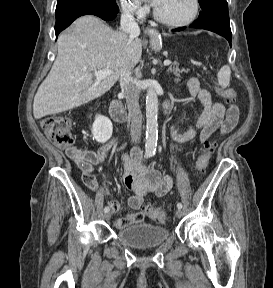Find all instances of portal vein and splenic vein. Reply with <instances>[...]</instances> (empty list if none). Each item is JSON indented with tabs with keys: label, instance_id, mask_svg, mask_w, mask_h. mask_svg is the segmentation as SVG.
Masks as SVG:
<instances>
[{
	"label": "portal vein and splenic vein",
	"instance_id": "18ae733b",
	"mask_svg": "<svg viewBox=\"0 0 273 288\" xmlns=\"http://www.w3.org/2000/svg\"><path fill=\"white\" fill-rule=\"evenodd\" d=\"M171 64L170 60H165L164 61V65L168 66ZM111 74V71L109 69H103V70H99V71H95L94 72V76L96 77V80L99 82L102 79L108 77Z\"/></svg>",
	"mask_w": 273,
	"mask_h": 288
}]
</instances>
